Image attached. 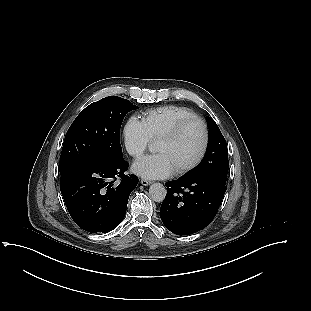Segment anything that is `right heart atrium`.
<instances>
[{
  "instance_id": "right-heart-atrium-1",
  "label": "right heart atrium",
  "mask_w": 311,
  "mask_h": 311,
  "mask_svg": "<svg viewBox=\"0 0 311 311\" xmlns=\"http://www.w3.org/2000/svg\"><path fill=\"white\" fill-rule=\"evenodd\" d=\"M123 138L128 154L135 159L140 158L151 143L143 122L136 117L126 121Z\"/></svg>"
}]
</instances>
